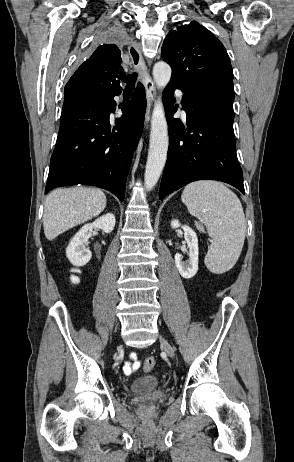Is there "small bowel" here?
Segmentation results:
<instances>
[{
    "instance_id": "1",
    "label": "small bowel",
    "mask_w": 294,
    "mask_h": 462,
    "mask_svg": "<svg viewBox=\"0 0 294 462\" xmlns=\"http://www.w3.org/2000/svg\"><path fill=\"white\" fill-rule=\"evenodd\" d=\"M130 360L131 361L125 362L123 365V373L125 375H131L140 368L141 364L140 361L137 360L136 353L132 352L130 354Z\"/></svg>"
}]
</instances>
